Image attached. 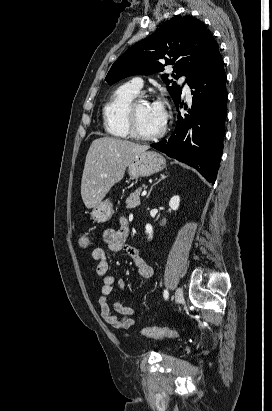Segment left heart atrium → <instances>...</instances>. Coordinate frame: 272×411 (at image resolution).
I'll use <instances>...</instances> for the list:
<instances>
[{
  "label": "left heart atrium",
  "instance_id": "39dd6f15",
  "mask_svg": "<svg viewBox=\"0 0 272 411\" xmlns=\"http://www.w3.org/2000/svg\"><path fill=\"white\" fill-rule=\"evenodd\" d=\"M152 107L153 110L155 112V114L157 115V117L164 122L165 120V108H164V104L162 101H156L154 103H152Z\"/></svg>",
  "mask_w": 272,
  "mask_h": 411
}]
</instances>
